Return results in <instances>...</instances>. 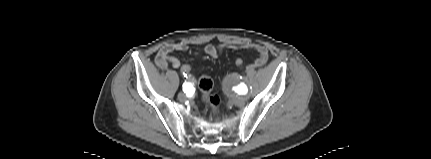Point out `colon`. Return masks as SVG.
I'll return each instance as SVG.
<instances>
[{
  "mask_svg": "<svg viewBox=\"0 0 431 159\" xmlns=\"http://www.w3.org/2000/svg\"><path fill=\"white\" fill-rule=\"evenodd\" d=\"M234 64L238 67L239 73L245 72L244 61L242 58H235ZM193 70L191 63H184L180 66V74L187 76ZM199 89L203 95V98L210 109L212 116H217L220 112V98L218 95L212 94L213 81L208 76H202L198 82Z\"/></svg>",
  "mask_w": 431,
  "mask_h": 159,
  "instance_id": "colon-1",
  "label": "colon"
}]
</instances>
